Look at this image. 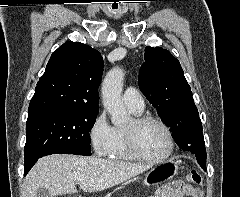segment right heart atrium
<instances>
[{
    "mask_svg": "<svg viewBox=\"0 0 240 197\" xmlns=\"http://www.w3.org/2000/svg\"><path fill=\"white\" fill-rule=\"evenodd\" d=\"M91 147L96 155L108 156L114 145L115 128L109 123L104 111L100 112L89 128Z\"/></svg>",
    "mask_w": 240,
    "mask_h": 197,
    "instance_id": "obj_1",
    "label": "right heart atrium"
}]
</instances>
